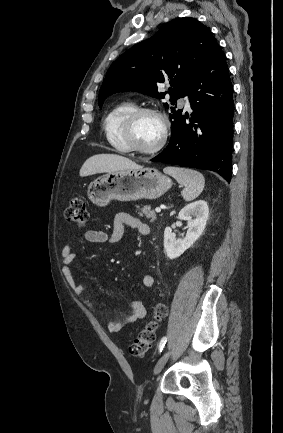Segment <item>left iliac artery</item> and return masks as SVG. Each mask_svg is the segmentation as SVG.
I'll return each mask as SVG.
<instances>
[{
  "label": "left iliac artery",
  "instance_id": "left-iliac-artery-1",
  "mask_svg": "<svg viewBox=\"0 0 283 433\" xmlns=\"http://www.w3.org/2000/svg\"><path fill=\"white\" fill-rule=\"evenodd\" d=\"M166 342H167V337H163L160 341V344H159V352L160 353L162 352Z\"/></svg>",
  "mask_w": 283,
  "mask_h": 433
}]
</instances>
